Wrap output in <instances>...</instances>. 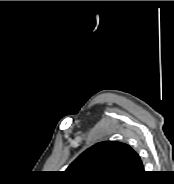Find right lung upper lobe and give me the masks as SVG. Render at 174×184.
I'll use <instances>...</instances> for the list:
<instances>
[{"instance_id":"cb5924a9","label":"right lung upper lobe","mask_w":174,"mask_h":184,"mask_svg":"<svg viewBox=\"0 0 174 184\" xmlns=\"http://www.w3.org/2000/svg\"><path fill=\"white\" fill-rule=\"evenodd\" d=\"M77 182L121 183L144 172L139 155L127 144L99 142L84 151L65 171Z\"/></svg>"}]
</instances>
